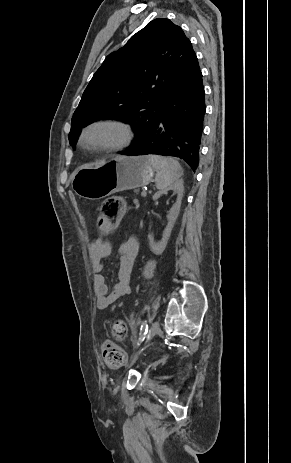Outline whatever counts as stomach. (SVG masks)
Listing matches in <instances>:
<instances>
[{"label":"stomach","mask_w":291,"mask_h":463,"mask_svg":"<svg viewBox=\"0 0 291 463\" xmlns=\"http://www.w3.org/2000/svg\"><path fill=\"white\" fill-rule=\"evenodd\" d=\"M153 175L154 169L146 156H120L107 162L78 167L72 174L71 186L80 197L97 200L145 186Z\"/></svg>","instance_id":"1"}]
</instances>
